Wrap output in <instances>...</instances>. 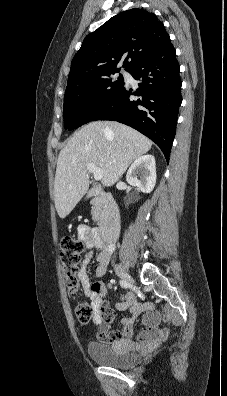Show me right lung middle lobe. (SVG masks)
Wrapping results in <instances>:
<instances>
[{"label": "right lung middle lobe", "instance_id": "obj_1", "mask_svg": "<svg viewBox=\"0 0 227 396\" xmlns=\"http://www.w3.org/2000/svg\"><path fill=\"white\" fill-rule=\"evenodd\" d=\"M112 71L67 87L64 98V124L73 130L86 124L124 86L123 77L113 81Z\"/></svg>", "mask_w": 227, "mask_h": 396}]
</instances>
